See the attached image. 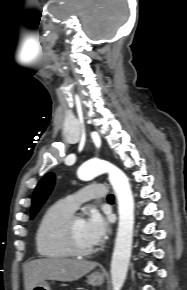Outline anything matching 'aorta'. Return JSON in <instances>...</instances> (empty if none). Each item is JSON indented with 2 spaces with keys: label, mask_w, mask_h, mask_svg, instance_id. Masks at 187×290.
I'll return each instance as SVG.
<instances>
[{
  "label": "aorta",
  "mask_w": 187,
  "mask_h": 290,
  "mask_svg": "<svg viewBox=\"0 0 187 290\" xmlns=\"http://www.w3.org/2000/svg\"><path fill=\"white\" fill-rule=\"evenodd\" d=\"M107 172L118 201L119 223L111 261L113 290H121L125 282L132 251L134 198L126 175L117 167L98 159L89 160L78 170V177L90 181Z\"/></svg>",
  "instance_id": "aorta-1"
}]
</instances>
